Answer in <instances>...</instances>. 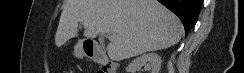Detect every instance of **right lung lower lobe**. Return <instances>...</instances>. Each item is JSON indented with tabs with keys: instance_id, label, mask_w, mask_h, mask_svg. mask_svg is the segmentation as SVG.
<instances>
[{
	"instance_id": "1",
	"label": "right lung lower lobe",
	"mask_w": 244,
	"mask_h": 73,
	"mask_svg": "<svg viewBox=\"0 0 244 73\" xmlns=\"http://www.w3.org/2000/svg\"><path fill=\"white\" fill-rule=\"evenodd\" d=\"M182 21L187 36L195 26L203 0H158Z\"/></svg>"
}]
</instances>
